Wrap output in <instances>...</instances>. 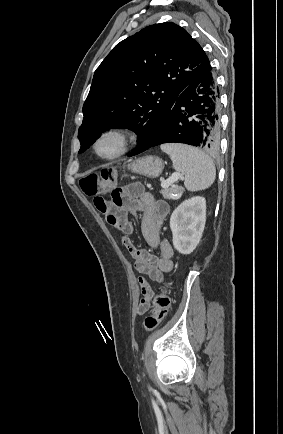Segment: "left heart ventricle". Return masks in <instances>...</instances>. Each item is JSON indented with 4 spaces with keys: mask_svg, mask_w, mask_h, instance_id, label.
I'll return each mask as SVG.
<instances>
[{
    "mask_svg": "<svg viewBox=\"0 0 283 434\" xmlns=\"http://www.w3.org/2000/svg\"><path fill=\"white\" fill-rule=\"evenodd\" d=\"M113 149H114V145H113L112 142H105V143L102 144V146H101V150H102L103 152H106V153L111 152Z\"/></svg>",
    "mask_w": 283,
    "mask_h": 434,
    "instance_id": "left-heart-ventricle-1",
    "label": "left heart ventricle"
}]
</instances>
